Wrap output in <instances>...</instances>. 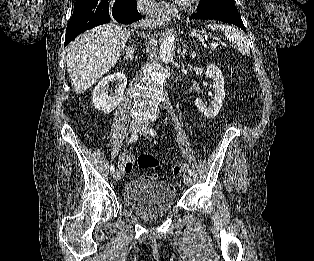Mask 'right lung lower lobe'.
<instances>
[{
	"label": "right lung lower lobe",
	"mask_w": 314,
	"mask_h": 261,
	"mask_svg": "<svg viewBox=\"0 0 314 261\" xmlns=\"http://www.w3.org/2000/svg\"><path fill=\"white\" fill-rule=\"evenodd\" d=\"M136 6V0H118L115 3L114 0H77L67 26L64 46L80 33L108 23L112 18L124 24L140 20L141 14Z\"/></svg>",
	"instance_id": "1"
}]
</instances>
